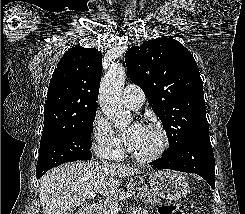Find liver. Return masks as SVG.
<instances>
[{"label": "liver", "instance_id": "1", "mask_svg": "<svg viewBox=\"0 0 245 214\" xmlns=\"http://www.w3.org/2000/svg\"><path fill=\"white\" fill-rule=\"evenodd\" d=\"M139 172L123 165H101L96 161L66 163L51 169L40 180L43 214H63L67 209L83 205L90 192L112 195L120 186L119 177Z\"/></svg>", "mask_w": 245, "mask_h": 214}]
</instances>
